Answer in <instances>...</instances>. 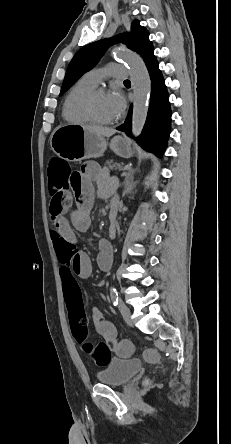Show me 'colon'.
Here are the masks:
<instances>
[{"mask_svg":"<svg viewBox=\"0 0 231 444\" xmlns=\"http://www.w3.org/2000/svg\"><path fill=\"white\" fill-rule=\"evenodd\" d=\"M77 171L71 169L69 164L61 159L53 158L48 166V193L51 197L50 209L56 210L60 206L62 193L69 189L77 178ZM67 305L71 332L82 350L98 366H105L112 352L129 353L133 350L130 341H111L93 344L88 339V318L84 305L79 296H67ZM148 360H156L157 353L149 349L145 352Z\"/></svg>","mask_w":231,"mask_h":444,"instance_id":"5ec220e1","label":"colon"}]
</instances>
